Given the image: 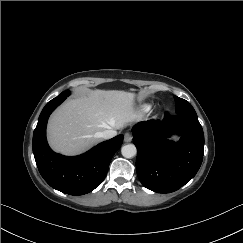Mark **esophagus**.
<instances>
[{
  "label": "esophagus",
  "instance_id": "1",
  "mask_svg": "<svg viewBox=\"0 0 243 243\" xmlns=\"http://www.w3.org/2000/svg\"><path fill=\"white\" fill-rule=\"evenodd\" d=\"M132 139H133V135H132L131 133L126 132V133L124 134V141H125V142H131Z\"/></svg>",
  "mask_w": 243,
  "mask_h": 243
}]
</instances>
